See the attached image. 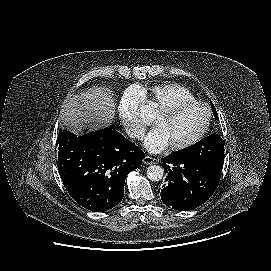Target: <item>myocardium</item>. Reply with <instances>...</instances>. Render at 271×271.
Wrapping results in <instances>:
<instances>
[{
    "instance_id": "1",
    "label": "myocardium",
    "mask_w": 271,
    "mask_h": 271,
    "mask_svg": "<svg viewBox=\"0 0 271 271\" xmlns=\"http://www.w3.org/2000/svg\"><path fill=\"white\" fill-rule=\"evenodd\" d=\"M193 106L203 107L207 111L206 123L203 126V128L199 131V133L197 135H195L192 139L188 140L185 143L179 144V145L170 146V149L172 151H183V150L189 149L192 146L196 145L198 142H200L205 137V135L209 131V128L212 123V119H213L212 109L210 108V106L208 104H206L202 101L192 100V101H185V102H179V103L172 104L170 106H167L165 108L158 110V112H157L158 116H172V115L179 113L180 111H182L184 109H187V108L193 107Z\"/></svg>"
}]
</instances>
